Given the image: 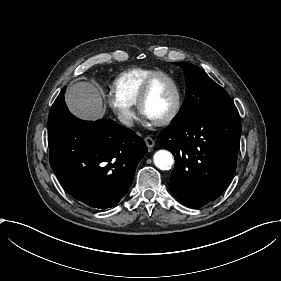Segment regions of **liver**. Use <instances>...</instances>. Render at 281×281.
I'll return each instance as SVG.
<instances>
[{
  "instance_id": "obj_1",
  "label": "liver",
  "mask_w": 281,
  "mask_h": 281,
  "mask_svg": "<svg viewBox=\"0 0 281 281\" xmlns=\"http://www.w3.org/2000/svg\"><path fill=\"white\" fill-rule=\"evenodd\" d=\"M69 110L80 119L97 120L103 118L105 110L99 90L90 82H77L65 93Z\"/></svg>"
}]
</instances>
